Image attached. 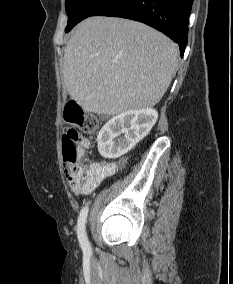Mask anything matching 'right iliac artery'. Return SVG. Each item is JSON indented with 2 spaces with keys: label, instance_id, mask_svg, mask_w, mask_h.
<instances>
[{
  "label": "right iliac artery",
  "instance_id": "obj_1",
  "mask_svg": "<svg viewBox=\"0 0 233 284\" xmlns=\"http://www.w3.org/2000/svg\"><path fill=\"white\" fill-rule=\"evenodd\" d=\"M87 214H88V206H84L81 209L79 218H78V222H77V236H78V240L80 242V245L82 247V249L85 252H89L90 250V244L86 235V231H85V223H86V219H87Z\"/></svg>",
  "mask_w": 233,
  "mask_h": 284
}]
</instances>
